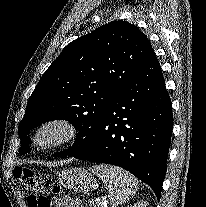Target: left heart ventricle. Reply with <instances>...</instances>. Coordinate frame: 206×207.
<instances>
[{
  "label": "left heart ventricle",
  "instance_id": "b2bd125f",
  "mask_svg": "<svg viewBox=\"0 0 206 207\" xmlns=\"http://www.w3.org/2000/svg\"><path fill=\"white\" fill-rule=\"evenodd\" d=\"M59 134L60 132L58 130L49 129L41 135L40 141L43 143L52 142L59 136Z\"/></svg>",
  "mask_w": 206,
  "mask_h": 207
}]
</instances>
